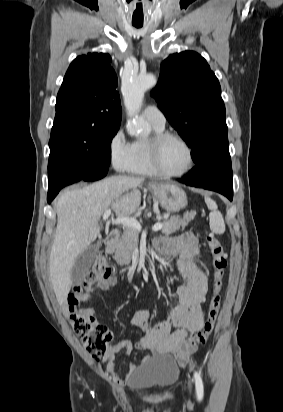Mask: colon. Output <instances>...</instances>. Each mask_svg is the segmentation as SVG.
<instances>
[{"label": "colon", "mask_w": 283, "mask_h": 412, "mask_svg": "<svg viewBox=\"0 0 283 412\" xmlns=\"http://www.w3.org/2000/svg\"><path fill=\"white\" fill-rule=\"evenodd\" d=\"M206 245L211 253V282L207 316L202 328L192 333L178 350L185 354L189 350L204 344L211 334L220 309V290L227 266V254L220 239L211 232H206ZM111 274L109 262L103 253H99L92 264L83 284L68 297V318L75 335L80 339L87 352L95 359L106 356L108 345L113 335L109 328L99 322L94 315L82 307L88 298L89 290Z\"/></svg>", "instance_id": "colon-1"}]
</instances>
